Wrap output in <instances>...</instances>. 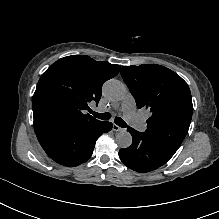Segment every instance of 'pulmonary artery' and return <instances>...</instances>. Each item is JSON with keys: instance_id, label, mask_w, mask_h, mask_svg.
Here are the masks:
<instances>
[{"instance_id": "pulmonary-artery-1", "label": "pulmonary artery", "mask_w": 219, "mask_h": 219, "mask_svg": "<svg viewBox=\"0 0 219 219\" xmlns=\"http://www.w3.org/2000/svg\"><path fill=\"white\" fill-rule=\"evenodd\" d=\"M135 99L133 95L128 92L122 100L121 110L126 119L131 122V126L135 130H140L143 127V122L139 119L138 113L135 112Z\"/></svg>"}]
</instances>
